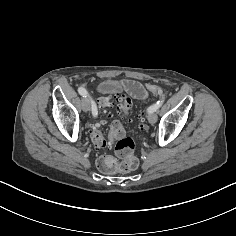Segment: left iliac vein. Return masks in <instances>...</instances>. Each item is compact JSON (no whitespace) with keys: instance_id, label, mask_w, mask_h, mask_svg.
<instances>
[{"instance_id":"1","label":"left iliac vein","mask_w":236,"mask_h":236,"mask_svg":"<svg viewBox=\"0 0 236 236\" xmlns=\"http://www.w3.org/2000/svg\"><path fill=\"white\" fill-rule=\"evenodd\" d=\"M157 114L152 112V113H149L148 114V121L151 123V124H154L156 121H157Z\"/></svg>"}]
</instances>
